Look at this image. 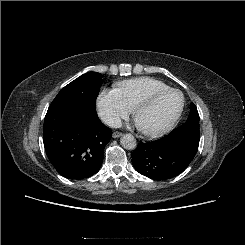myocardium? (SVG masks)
Instances as JSON below:
<instances>
[{
	"mask_svg": "<svg viewBox=\"0 0 245 245\" xmlns=\"http://www.w3.org/2000/svg\"><path fill=\"white\" fill-rule=\"evenodd\" d=\"M171 92H176L181 96V105L178 109V111L176 112V114L162 127L155 129V130H143L140 129V131L147 137H159L162 136L166 133H168L177 123V121L180 119L184 107H185V97L183 95V93L176 88H167V89H163V90H159V91H155L152 92L148 95L143 96L142 98H140L139 100H137L134 105L132 106V114L134 119H136L137 113L139 111V109L143 106H146L148 104H150L152 101H154L155 99L167 94V93H171Z\"/></svg>",
	"mask_w": 245,
	"mask_h": 245,
	"instance_id": "1",
	"label": "myocardium"
}]
</instances>
